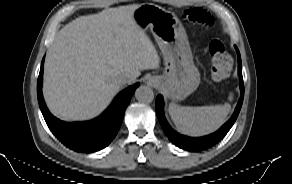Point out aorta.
<instances>
[{
	"mask_svg": "<svg viewBox=\"0 0 292 184\" xmlns=\"http://www.w3.org/2000/svg\"><path fill=\"white\" fill-rule=\"evenodd\" d=\"M135 98L141 103H149L154 99L153 90L148 87L141 85L135 90Z\"/></svg>",
	"mask_w": 292,
	"mask_h": 184,
	"instance_id": "obj_1",
	"label": "aorta"
}]
</instances>
